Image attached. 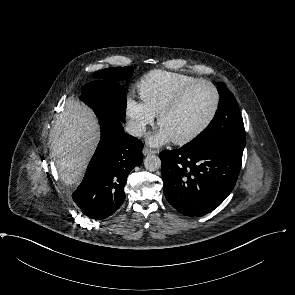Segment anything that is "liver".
Here are the masks:
<instances>
[{"mask_svg": "<svg viewBox=\"0 0 295 295\" xmlns=\"http://www.w3.org/2000/svg\"><path fill=\"white\" fill-rule=\"evenodd\" d=\"M99 140V124L94 113L75 99H67L65 110L54 122L52 150L61 180L78 184Z\"/></svg>", "mask_w": 295, "mask_h": 295, "instance_id": "obj_1", "label": "liver"}]
</instances>
